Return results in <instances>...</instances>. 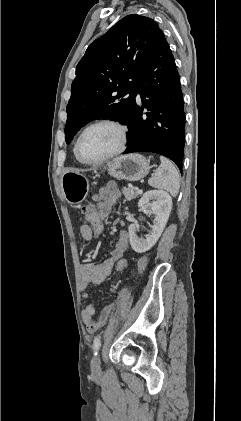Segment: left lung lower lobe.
<instances>
[{
	"mask_svg": "<svg viewBox=\"0 0 241 421\" xmlns=\"http://www.w3.org/2000/svg\"><path fill=\"white\" fill-rule=\"evenodd\" d=\"M142 106L135 104L124 151L153 152L170 158L182 172L185 113L180 77L162 31L136 84ZM146 116H143V110Z\"/></svg>",
	"mask_w": 241,
	"mask_h": 421,
	"instance_id": "left-lung-lower-lobe-1",
	"label": "left lung lower lobe"
}]
</instances>
